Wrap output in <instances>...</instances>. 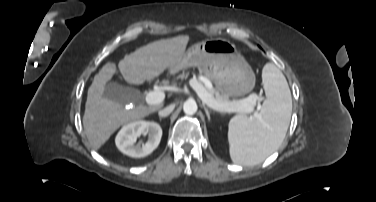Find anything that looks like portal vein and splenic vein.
Instances as JSON below:
<instances>
[{
  "instance_id": "18ae733b",
  "label": "portal vein and splenic vein",
  "mask_w": 376,
  "mask_h": 202,
  "mask_svg": "<svg viewBox=\"0 0 376 202\" xmlns=\"http://www.w3.org/2000/svg\"><path fill=\"white\" fill-rule=\"evenodd\" d=\"M205 84L208 88L212 87V84L207 79ZM190 85L196 91L200 99L206 103L209 107L221 111V112H240V113H252L254 112V106L256 105L257 97L250 95L249 97L238 101H219L216 100L206 89L195 79L191 80ZM165 94L161 91H150L147 93L145 100L148 104L154 105L163 102ZM256 114V113H255Z\"/></svg>"
}]
</instances>
